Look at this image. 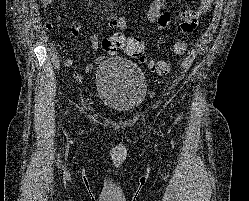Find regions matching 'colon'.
Here are the masks:
<instances>
[{"label": "colon", "instance_id": "1", "mask_svg": "<svg viewBox=\"0 0 249 201\" xmlns=\"http://www.w3.org/2000/svg\"><path fill=\"white\" fill-rule=\"evenodd\" d=\"M102 48L108 54H114L118 50H123L128 56L141 62L146 61L145 47L143 42L138 38H131L112 34L105 37L101 42ZM186 43L178 41L173 45V53L182 55L186 51ZM150 69L158 75H165L171 71L172 64L169 60L150 61Z\"/></svg>", "mask_w": 249, "mask_h": 201}]
</instances>
